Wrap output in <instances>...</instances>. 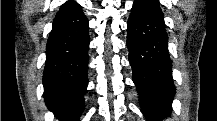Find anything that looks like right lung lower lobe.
<instances>
[{"label":"right lung lower lobe","instance_id":"98d812e1","mask_svg":"<svg viewBox=\"0 0 217 121\" xmlns=\"http://www.w3.org/2000/svg\"><path fill=\"white\" fill-rule=\"evenodd\" d=\"M88 20L74 1L57 12L46 46L44 97L61 121H76L84 109L87 88Z\"/></svg>","mask_w":217,"mask_h":121}]
</instances>
